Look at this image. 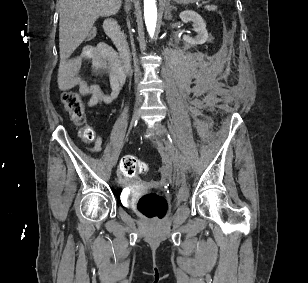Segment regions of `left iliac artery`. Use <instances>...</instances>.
<instances>
[{"mask_svg":"<svg viewBox=\"0 0 308 283\" xmlns=\"http://www.w3.org/2000/svg\"><path fill=\"white\" fill-rule=\"evenodd\" d=\"M168 139L170 142H172V137L168 134Z\"/></svg>","mask_w":308,"mask_h":283,"instance_id":"obj_1","label":"left iliac artery"}]
</instances>
